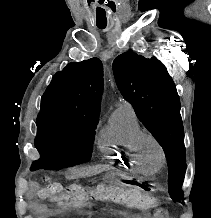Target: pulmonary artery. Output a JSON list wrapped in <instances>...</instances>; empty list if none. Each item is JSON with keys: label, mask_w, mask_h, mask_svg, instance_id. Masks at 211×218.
<instances>
[{"label": "pulmonary artery", "mask_w": 211, "mask_h": 218, "mask_svg": "<svg viewBox=\"0 0 211 218\" xmlns=\"http://www.w3.org/2000/svg\"><path fill=\"white\" fill-rule=\"evenodd\" d=\"M124 105H130L127 101L120 99L116 102V106H124Z\"/></svg>", "instance_id": "pulmonary-artery-1"}]
</instances>
